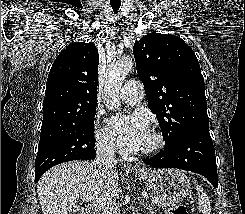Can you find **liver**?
Here are the masks:
<instances>
[{"label": "liver", "mask_w": 245, "mask_h": 214, "mask_svg": "<svg viewBox=\"0 0 245 214\" xmlns=\"http://www.w3.org/2000/svg\"><path fill=\"white\" fill-rule=\"evenodd\" d=\"M118 185L116 170L74 161L48 170L38 182L37 194L42 214H68L79 198L87 194L110 196Z\"/></svg>", "instance_id": "obj_1"}]
</instances>
